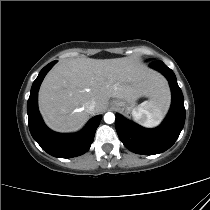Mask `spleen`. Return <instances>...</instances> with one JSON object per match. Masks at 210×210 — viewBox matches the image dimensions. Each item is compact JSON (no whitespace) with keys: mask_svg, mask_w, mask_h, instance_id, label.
I'll list each match as a JSON object with an SVG mask.
<instances>
[{"mask_svg":"<svg viewBox=\"0 0 210 210\" xmlns=\"http://www.w3.org/2000/svg\"><path fill=\"white\" fill-rule=\"evenodd\" d=\"M167 103L153 99L143 102L132 112L134 121L147 128L157 126L163 117Z\"/></svg>","mask_w":210,"mask_h":210,"instance_id":"spleen-1","label":"spleen"}]
</instances>
